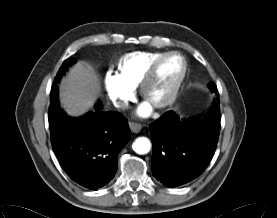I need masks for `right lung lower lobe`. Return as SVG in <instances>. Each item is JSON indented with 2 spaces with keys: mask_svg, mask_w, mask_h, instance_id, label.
I'll use <instances>...</instances> for the list:
<instances>
[{
  "mask_svg": "<svg viewBox=\"0 0 277 218\" xmlns=\"http://www.w3.org/2000/svg\"><path fill=\"white\" fill-rule=\"evenodd\" d=\"M56 76L51 101H58ZM97 111L80 118L64 115L50 127L51 143L61 165L72 180L97 190L108 184L117 171V158L131 139L126 118L118 112Z\"/></svg>",
  "mask_w": 277,
  "mask_h": 218,
  "instance_id": "right-lung-lower-lobe-1",
  "label": "right lung lower lobe"
}]
</instances>
